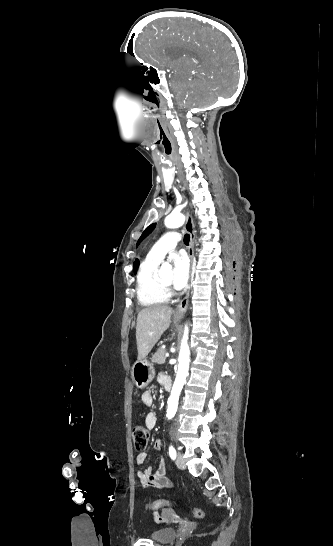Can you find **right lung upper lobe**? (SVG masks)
Segmentation results:
<instances>
[{
	"label": "right lung upper lobe",
	"instance_id": "cb5924a9",
	"mask_svg": "<svg viewBox=\"0 0 333 546\" xmlns=\"http://www.w3.org/2000/svg\"><path fill=\"white\" fill-rule=\"evenodd\" d=\"M137 264L138 265V260L135 261L134 265Z\"/></svg>",
	"mask_w": 333,
	"mask_h": 546
}]
</instances>
